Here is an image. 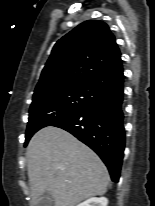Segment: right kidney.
<instances>
[{"label":"right kidney","mask_w":155,"mask_h":206,"mask_svg":"<svg viewBox=\"0 0 155 206\" xmlns=\"http://www.w3.org/2000/svg\"><path fill=\"white\" fill-rule=\"evenodd\" d=\"M108 205V199L105 197L100 198H90L86 201L78 204L77 206H107Z\"/></svg>","instance_id":"right-kidney-1"}]
</instances>
